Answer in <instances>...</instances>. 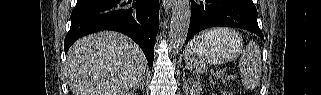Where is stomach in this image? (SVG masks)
Segmentation results:
<instances>
[{"mask_svg": "<svg viewBox=\"0 0 321 95\" xmlns=\"http://www.w3.org/2000/svg\"><path fill=\"white\" fill-rule=\"evenodd\" d=\"M193 40L188 44L186 57L187 60L197 61L201 64L232 60L243 48L241 37L233 31L216 42L201 38L196 42Z\"/></svg>", "mask_w": 321, "mask_h": 95, "instance_id": "0dacf381", "label": "stomach"}]
</instances>
